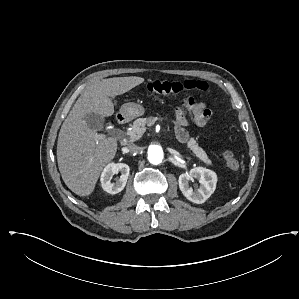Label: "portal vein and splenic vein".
Returning a JSON list of instances; mask_svg holds the SVG:
<instances>
[{
  "mask_svg": "<svg viewBox=\"0 0 299 299\" xmlns=\"http://www.w3.org/2000/svg\"><path fill=\"white\" fill-rule=\"evenodd\" d=\"M94 138L97 139V140H99V139L104 138V135L103 134H95Z\"/></svg>",
  "mask_w": 299,
  "mask_h": 299,
  "instance_id": "1",
  "label": "portal vein and splenic vein"
}]
</instances>
